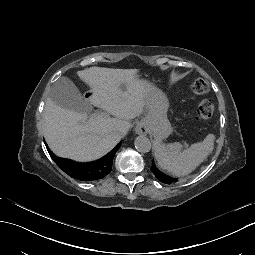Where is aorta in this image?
<instances>
[{"label": "aorta", "mask_w": 255, "mask_h": 255, "mask_svg": "<svg viewBox=\"0 0 255 255\" xmlns=\"http://www.w3.org/2000/svg\"><path fill=\"white\" fill-rule=\"evenodd\" d=\"M135 148L141 153H147L151 149V142L149 138L144 135L138 136L134 141Z\"/></svg>", "instance_id": "762f6f07"}]
</instances>
